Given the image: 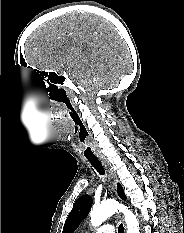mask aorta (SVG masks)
<instances>
[{"label":"aorta","mask_w":184,"mask_h":233,"mask_svg":"<svg viewBox=\"0 0 184 233\" xmlns=\"http://www.w3.org/2000/svg\"><path fill=\"white\" fill-rule=\"evenodd\" d=\"M118 210L125 215L127 233H139V223L136 216L126 206L116 201H104L93 207L90 213L92 226H99Z\"/></svg>","instance_id":"obj_1"}]
</instances>
